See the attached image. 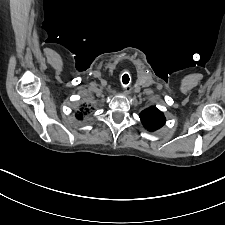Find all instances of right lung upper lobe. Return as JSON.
Listing matches in <instances>:
<instances>
[{"label":"right lung upper lobe","instance_id":"1","mask_svg":"<svg viewBox=\"0 0 225 225\" xmlns=\"http://www.w3.org/2000/svg\"><path fill=\"white\" fill-rule=\"evenodd\" d=\"M83 115L82 113H80L79 115H77L78 118H81Z\"/></svg>","mask_w":225,"mask_h":225}]
</instances>
